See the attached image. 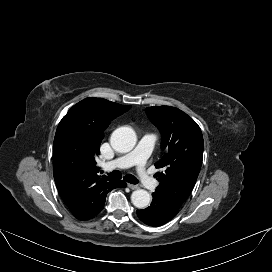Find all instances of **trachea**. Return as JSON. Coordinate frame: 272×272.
<instances>
[{
    "label": "trachea",
    "mask_w": 272,
    "mask_h": 272,
    "mask_svg": "<svg viewBox=\"0 0 272 272\" xmlns=\"http://www.w3.org/2000/svg\"><path fill=\"white\" fill-rule=\"evenodd\" d=\"M108 175L110 177H112V178H118V179L122 178V173L120 171H118V170L112 171ZM123 178L128 183H131V184H137L138 183V179L136 177H134L133 175H131V174H127Z\"/></svg>",
    "instance_id": "3493384b"
}]
</instances>
